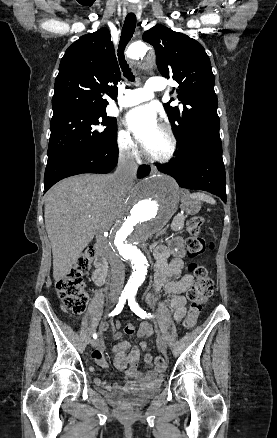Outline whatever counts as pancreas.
<instances>
[{"label": "pancreas", "instance_id": "obj_1", "mask_svg": "<svg viewBox=\"0 0 277 438\" xmlns=\"http://www.w3.org/2000/svg\"><path fill=\"white\" fill-rule=\"evenodd\" d=\"M172 224L170 225V232L171 233H178L180 231V227L182 226V223H185L186 216L185 214H173L172 216Z\"/></svg>", "mask_w": 277, "mask_h": 438}]
</instances>
